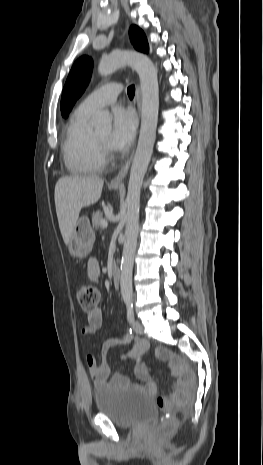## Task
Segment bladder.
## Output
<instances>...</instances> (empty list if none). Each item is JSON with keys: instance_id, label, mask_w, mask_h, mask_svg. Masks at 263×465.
<instances>
[{"instance_id": "obj_1", "label": "bladder", "mask_w": 263, "mask_h": 465, "mask_svg": "<svg viewBox=\"0 0 263 465\" xmlns=\"http://www.w3.org/2000/svg\"><path fill=\"white\" fill-rule=\"evenodd\" d=\"M94 402L100 414L123 428L150 422L157 415L154 401L135 388L105 387L94 394Z\"/></svg>"}]
</instances>
